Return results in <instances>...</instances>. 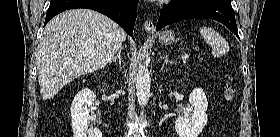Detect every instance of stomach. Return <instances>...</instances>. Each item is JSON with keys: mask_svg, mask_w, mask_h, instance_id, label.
I'll use <instances>...</instances> for the list:
<instances>
[{"mask_svg": "<svg viewBox=\"0 0 280 137\" xmlns=\"http://www.w3.org/2000/svg\"><path fill=\"white\" fill-rule=\"evenodd\" d=\"M175 41V35L172 31L167 30L159 34V42L164 45H169Z\"/></svg>", "mask_w": 280, "mask_h": 137, "instance_id": "stomach-1", "label": "stomach"}]
</instances>
